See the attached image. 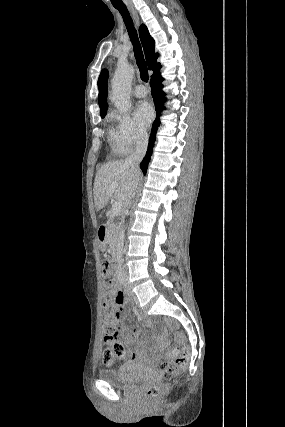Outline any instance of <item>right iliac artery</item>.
I'll use <instances>...</instances> for the list:
<instances>
[{
	"mask_svg": "<svg viewBox=\"0 0 285 427\" xmlns=\"http://www.w3.org/2000/svg\"><path fill=\"white\" fill-rule=\"evenodd\" d=\"M120 278H121V282L124 283V279H123L122 273L120 275Z\"/></svg>",
	"mask_w": 285,
	"mask_h": 427,
	"instance_id": "obj_1",
	"label": "right iliac artery"
}]
</instances>
